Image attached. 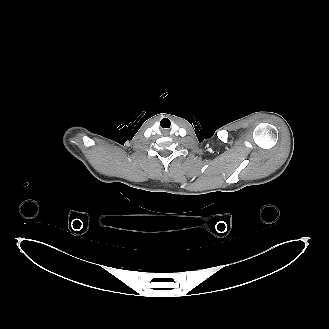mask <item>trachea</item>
Masks as SVG:
<instances>
[{
	"label": "trachea",
	"mask_w": 329,
	"mask_h": 329,
	"mask_svg": "<svg viewBox=\"0 0 329 329\" xmlns=\"http://www.w3.org/2000/svg\"><path fill=\"white\" fill-rule=\"evenodd\" d=\"M168 123V124H170V121L167 119V118H164L162 121H161V123Z\"/></svg>",
	"instance_id": "1"
}]
</instances>
